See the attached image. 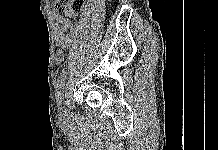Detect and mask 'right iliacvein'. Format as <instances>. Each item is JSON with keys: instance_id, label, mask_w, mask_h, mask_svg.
Returning <instances> with one entry per match:
<instances>
[{"instance_id": "obj_1", "label": "right iliac vein", "mask_w": 218, "mask_h": 150, "mask_svg": "<svg viewBox=\"0 0 218 150\" xmlns=\"http://www.w3.org/2000/svg\"><path fill=\"white\" fill-rule=\"evenodd\" d=\"M58 111H59L60 116L65 115L64 106L62 104V101H61V103L58 104Z\"/></svg>"}]
</instances>
